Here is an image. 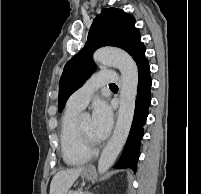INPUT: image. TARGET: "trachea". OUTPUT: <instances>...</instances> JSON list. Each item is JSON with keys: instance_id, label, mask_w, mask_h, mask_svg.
Segmentation results:
<instances>
[{"instance_id": "obj_1", "label": "trachea", "mask_w": 201, "mask_h": 194, "mask_svg": "<svg viewBox=\"0 0 201 194\" xmlns=\"http://www.w3.org/2000/svg\"><path fill=\"white\" fill-rule=\"evenodd\" d=\"M110 87H116V85L115 84H110Z\"/></svg>"}]
</instances>
